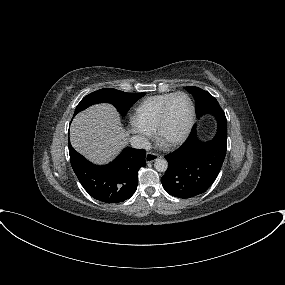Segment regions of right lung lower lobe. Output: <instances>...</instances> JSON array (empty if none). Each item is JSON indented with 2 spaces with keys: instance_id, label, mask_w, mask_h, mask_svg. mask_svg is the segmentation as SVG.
Listing matches in <instances>:
<instances>
[{
  "instance_id": "right-lung-lower-lobe-1",
  "label": "right lung lower lobe",
  "mask_w": 285,
  "mask_h": 285,
  "mask_svg": "<svg viewBox=\"0 0 285 285\" xmlns=\"http://www.w3.org/2000/svg\"><path fill=\"white\" fill-rule=\"evenodd\" d=\"M71 166L81 185L93 198L118 203L136 191L138 171L146 165L143 149L125 148L111 163L97 166L74 150L68 142Z\"/></svg>"
}]
</instances>
